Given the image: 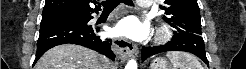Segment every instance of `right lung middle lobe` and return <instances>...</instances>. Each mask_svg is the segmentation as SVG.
I'll use <instances>...</instances> for the list:
<instances>
[{
	"instance_id": "1",
	"label": "right lung middle lobe",
	"mask_w": 246,
	"mask_h": 69,
	"mask_svg": "<svg viewBox=\"0 0 246 69\" xmlns=\"http://www.w3.org/2000/svg\"><path fill=\"white\" fill-rule=\"evenodd\" d=\"M50 19H53V18H50V17H43L42 18L43 21H47V20H50Z\"/></svg>"
}]
</instances>
